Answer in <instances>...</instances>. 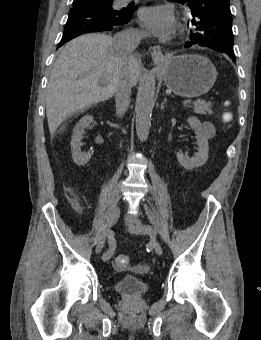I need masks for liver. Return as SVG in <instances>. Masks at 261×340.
Returning <instances> with one entry per match:
<instances>
[{
	"mask_svg": "<svg viewBox=\"0 0 261 340\" xmlns=\"http://www.w3.org/2000/svg\"><path fill=\"white\" fill-rule=\"evenodd\" d=\"M123 75L130 78L132 86L136 85L140 63L135 56L121 57L112 37L91 33L67 43L54 64L47 86L50 134L74 113L110 99Z\"/></svg>",
	"mask_w": 261,
	"mask_h": 340,
	"instance_id": "6515ba94",
	"label": "liver"
}]
</instances>
